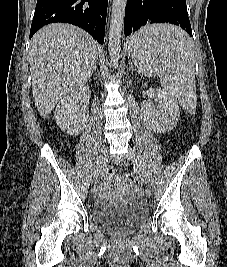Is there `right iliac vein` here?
<instances>
[{
    "label": "right iliac vein",
    "instance_id": "1",
    "mask_svg": "<svg viewBox=\"0 0 227 267\" xmlns=\"http://www.w3.org/2000/svg\"><path fill=\"white\" fill-rule=\"evenodd\" d=\"M106 156H107V148L106 146H102L100 149L97 160H96V165L95 169L92 175V183L96 184L99 179V173L101 172L102 168L104 167L105 161H106Z\"/></svg>",
    "mask_w": 227,
    "mask_h": 267
}]
</instances>
